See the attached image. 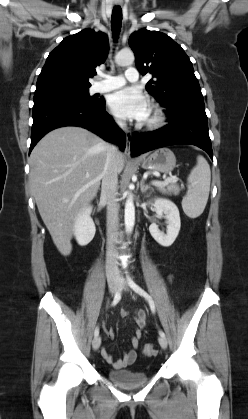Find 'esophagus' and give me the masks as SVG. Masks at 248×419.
Segmentation results:
<instances>
[{
    "label": "esophagus",
    "instance_id": "esophagus-1",
    "mask_svg": "<svg viewBox=\"0 0 248 419\" xmlns=\"http://www.w3.org/2000/svg\"><path fill=\"white\" fill-rule=\"evenodd\" d=\"M125 135H126V149H125V153H126V155L130 156V154H131L130 144H131V140H132V133H131V131L126 130Z\"/></svg>",
    "mask_w": 248,
    "mask_h": 419
}]
</instances>
